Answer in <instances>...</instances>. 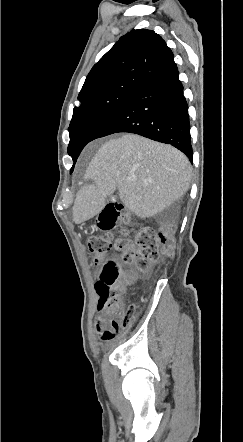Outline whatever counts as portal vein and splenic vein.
Instances as JSON below:
<instances>
[{
    "instance_id": "portal-vein-and-splenic-vein-1",
    "label": "portal vein and splenic vein",
    "mask_w": 243,
    "mask_h": 442,
    "mask_svg": "<svg viewBox=\"0 0 243 442\" xmlns=\"http://www.w3.org/2000/svg\"><path fill=\"white\" fill-rule=\"evenodd\" d=\"M136 178V176H131V177H129L128 179H135Z\"/></svg>"
}]
</instances>
